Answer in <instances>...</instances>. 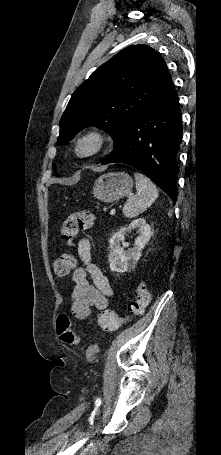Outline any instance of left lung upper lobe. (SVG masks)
<instances>
[{
  "label": "left lung upper lobe",
  "instance_id": "1",
  "mask_svg": "<svg viewBox=\"0 0 221 455\" xmlns=\"http://www.w3.org/2000/svg\"><path fill=\"white\" fill-rule=\"evenodd\" d=\"M170 80L164 59L151 47L133 45L121 50L73 93L60 120L57 143L64 145L81 129L94 125L117 144Z\"/></svg>",
  "mask_w": 221,
  "mask_h": 455
}]
</instances>
